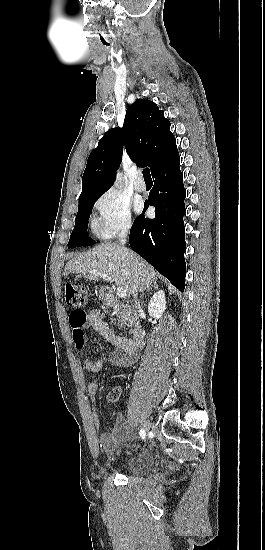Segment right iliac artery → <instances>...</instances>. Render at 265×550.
I'll return each instance as SVG.
<instances>
[{"mask_svg":"<svg viewBox=\"0 0 265 550\" xmlns=\"http://www.w3.org/2000/svg\"><path fill=\"white\" fill-rule=\"evenodd\" d=\"M145 431L143 429L140 430V436L142 437V439H145Z\"/></svg>","mask_w":265,"mask_h":550,"instance_id":"82829eb1","label":"right iliac artery"}]
</instances>
